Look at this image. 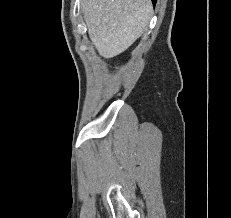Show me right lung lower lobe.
I'll list each match as a JSON object with an SVG mask.
<instances>
[{
  "label": "right lung lower lobe",
  "mask_w": 231,
  "mask_h": 218,
  "mask_svg": "<svg viewBox=\"0 0 231 218\" xmlns=\"http://www.w3.org/2000/svg\"><path fill=\"white\" fill-rule=\"evenodd\" d=\"M156 1H157V0H152V2H153L154 5H155Z\"/></svg>",
  "instance_id": "right-lung-lower-lobe-1"
}]
</instances>
